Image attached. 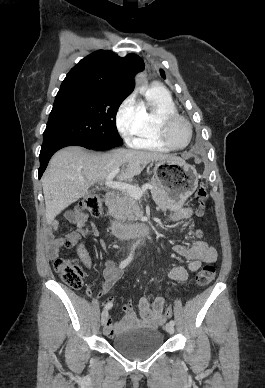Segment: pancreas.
I'll list each match as a JSON object with an SVG mask.
<instances>
[{
	"label": "pancreas",
	"mask_w": 265,
	"mask_h": 388,
	"mask_svg": "<svg viewBox=\"0 0 265 388\" xmlns=\"http://www.w3.org/2000/svg\"><path fill=\"white\" fill-rule=\"evenodd\" d=\"M149 184L153 186V190H151L152 198L158 208H160V210H167V208H170L172 200L169 194L165 192L163 186H160L156 180H150ZM135 186H138V184H135ZM114 210L115 212L112 214L113 218L121 220V222H126V220H138V218L143 216V212H141L137 200L131 198L128 192H122V196L121 198H118Z\"/></svg>",
	"instance_id": "pancreas-1"
}]
</instances>
